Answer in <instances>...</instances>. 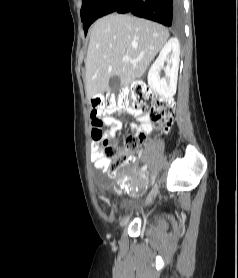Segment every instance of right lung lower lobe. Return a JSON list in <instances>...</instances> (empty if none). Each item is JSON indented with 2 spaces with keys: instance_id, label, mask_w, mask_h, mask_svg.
<instances>
[{
  "instance_id": "1",
  "label": "right lung lower lobe",
  "mask_w": 238,
  "mask_h": 278,
  "mask_svg": "<svg viewBox=\"0 0 238 278\" xmlns=\"http://www.w3.org/2000/svg\"><path fill=\"white\" fill-rule=\"evenodd\" d=\"M182 0H100L88 13V27L111 12L127 13L153 20L168 27L182 23Z\"/></svg>"
}]
</instances>
